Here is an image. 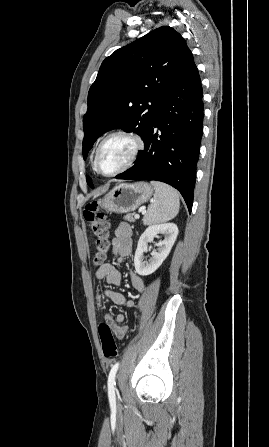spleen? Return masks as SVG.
Here are the masks:
<instances>
[{"label":"spleen","mask_w":269,"mask_h":447,"mask_svg":"<svg viewBox=\"0 0 269 447\" xmlns=\"http://www.w3.org/2000/svg\"><path fill=\"white\" fill-rule=\"evenodd\" d=\"M156 192L154 202L150 204L144 218V225L163 224L175 218L180 208V198L177 190L162 184V182H150Z\"/></svg>","instance_id":"spleen-1"}]
</instances>
